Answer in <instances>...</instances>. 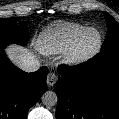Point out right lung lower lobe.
Returning <instances> with one entry per match:
<instances>
[{
	"instance_id": "obj_1",
	"label": "right lung lower lobe",
	"mask_w": 119,
	"mask_h": 119,
	"mask_svg": "<svg viewBox=\"0 0 119 119\" xmlns=\"http://www.w3.org/2000/svg\"><path fill=\"white\" fill-rule=\"evenodd\" d=\"M0 42V119H26L27 112L46 91L48 68L26 73L2 54Z\"/></svg>"
}]
</instances>
